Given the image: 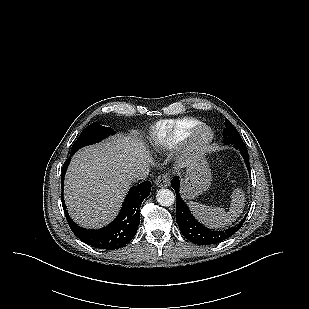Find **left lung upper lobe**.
<instances>
[{
  "mask_svg": "<svg viewBox=\"0 0 309 309\" xmlns=\"http://www.w3.org/2000/svg\"><path fill=\"white\" fill-rule=\"evenodd\" d=\"M224 144H234L243 142L240 134L228 119H225Z\"/></svg>",
  "mask_w": 309,
  "mask_h": 309,
  "instance_id": "5c2ea615",
  "label": "left lung upper lobe"
}]
</instances>
